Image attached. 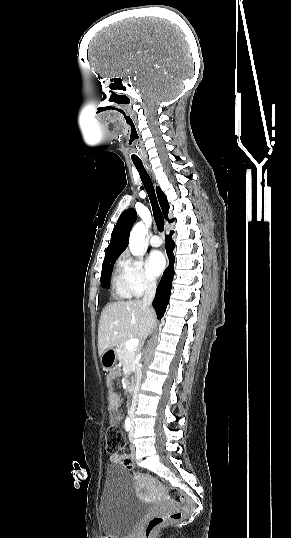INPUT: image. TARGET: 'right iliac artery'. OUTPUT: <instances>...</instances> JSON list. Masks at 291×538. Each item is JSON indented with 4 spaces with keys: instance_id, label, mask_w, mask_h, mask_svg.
<instances>
[{
    "instance_id": "right-iliac-artery-1",
    "label": "right iliac artery",
    "mask_w": 291,
    "mask_h": 538,
    "mask_svg": "<svg viewBox=\"0 0 291 538\" xmlns=\"http://www.w3.org/2000/svg\"><path fill=\"white\" fill-rule=\"evenodd\" d=\"M124 427H125V430H126V431H129L130 428H131V422H130V419H129L128 417H127L126 420H125V425H124Z\"/></svg>"
}]
</instances>
